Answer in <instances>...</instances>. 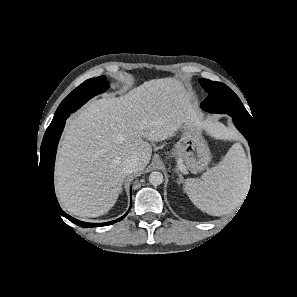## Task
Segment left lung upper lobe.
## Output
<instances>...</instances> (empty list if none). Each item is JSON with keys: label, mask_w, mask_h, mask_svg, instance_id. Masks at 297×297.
I'll return each mask as SVG.
<instances>
[{"label": "left lung upper lobe", "mask_w": 297, "mask_h": 297, "mask_svg": "<svg viewBox=\"0 0 297 297\" xmlns=\"http://www.w3.org/2000/svg\"><path fill=\"white\" fill-rule=\"evenodd\" d=\"M199 82L208 93V97L201 104L204 110L214 113H227L230 116L253 123V118L238 96L228 86L208 79H200Z\"/></svg>", "instance_id": "left-lung-upper-lobe-1"}]
</instances>
